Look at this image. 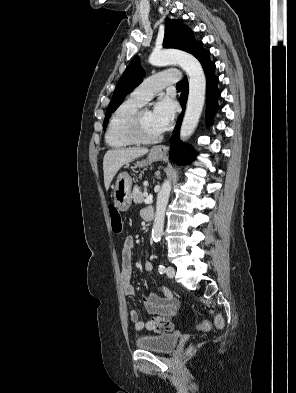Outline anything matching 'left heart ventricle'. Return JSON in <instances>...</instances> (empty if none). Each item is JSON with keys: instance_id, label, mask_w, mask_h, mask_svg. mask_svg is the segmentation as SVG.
Segmentation results:
<instances>
[{"instance_id": "left-heart-ventricle-1", "label": "left heart ventricle", "mask_w": 296, "mask_h": 393, "mask_svg": "<svg viewBox=\"0 0 296 393\" xmlns=\"http://www.w3.org/2000/svg\"><path fill=\"white\" fill-rule=\"evenodd\" d=\"M142 122V132L146 137H154L160 134L157 129L154 127L152 122V114L148 110H144L141 117Z\"/></svg>"}]
</instances>
